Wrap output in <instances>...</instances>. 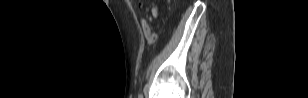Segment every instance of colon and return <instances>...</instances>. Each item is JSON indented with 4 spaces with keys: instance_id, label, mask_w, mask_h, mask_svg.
Returning a JSON list of instances; mask_svg holds the SVG:
<instances>
[{
    "instance_id": "obj_1",
    "label": "colon",
    "mask_w": 308,
    "mask_h": 98,
    "mask_svg": "<svg viewBox=\"0 0 308 98\" xmlns=\"http://www.w3.org/2000/svg\"><path fill=\"white\" fill-rule=\"evenodd\" d=\"M146 38L149 42H154L156 40V35L154 33H151Z\"/></svg>"
}]
</instances>
